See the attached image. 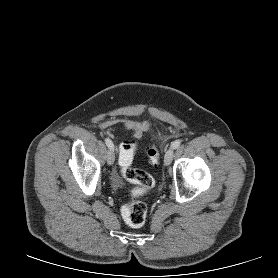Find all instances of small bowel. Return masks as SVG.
Returning <instances> with one entry per match:
<instances>
[{
	"label": "small bowel",
	"mask_w": 278,
	"mask_h": 278,
	"mask_svg": "<svg viewBox=\"0 0 278 278\" xmlns=\"http://www.w3.org/2000/svg\"><path fill=\"white\" fill-rule=\"evenodd\" d=\"M121 125L125 130L130 131L136 139L142 137L143 133L149 128L148 121H137L129 118H110L100 123V129L113 135L115 126Z\"/></svg>",
	"instance_id": "obj_1"
}]
</instances>
